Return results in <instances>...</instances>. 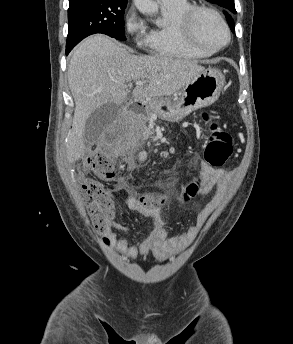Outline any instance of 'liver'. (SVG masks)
I'll return each mask as SVG.
<instances>
[{"label": "liver", "mask_w": 293, "mask_h": 344, "mask_svg": "<svg viewBox=\"0 0 293 344\" xmlns=\"http://www.w3.org/2000/svg\"><path fill=\"white\" fill-rule=\"evenodd\" d=\"M205 68L187 59L166 56H135L123 45L104 35L82 41L68 66V83L75 101L72 129L68 133L66 156L73 163L85 154L83 133L88 117L106 103L123 104L127 83L145 81L132 91L135 101L172 96Z\"/></svg>", "instance_id": "liver-1"}]
</instances>
